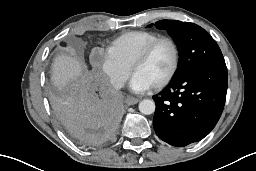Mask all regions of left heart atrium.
<instances>
[{
    "label": "left heart atrium",
    "instance_id": "left-heart-atrium-1",
    "mask_svg": "<svg viewBox=\"0 0 256 171\" xmlns=\"http://www.w3.org/2000/svg\"><path fill=\"white\" fill-rule=\"evenodd\" d=\"M130 86H131V89L135 92H142L151 87L147 82H145L135 74L131 78Z\"/></svg>",
    "mask_w": 256,
    "mask_h": 171
}]
</instances>
